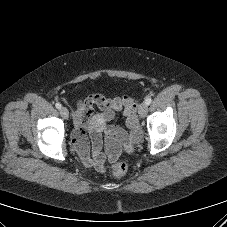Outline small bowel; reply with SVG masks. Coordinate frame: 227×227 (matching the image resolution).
<instances>
[{"label": "small bowel", "instance_id": "obj_1", "mask_svg": "<svg viewBox=\"0 0 227 227\" xmlns=\"http://www.w3.org/2000/svg\"><path fill=\"white\" fill-rule=\"evenodd\" d=\"M97 106L100 112L95 113ZM122 112L128 131L117 125H109L116 115ZM76 131L73 144L82 161L99 172L105 169L106 158L113 162L121 153V147L130 152L142 137L136 118V102L129 96L105 98L90 95L78 104L74 113ZM106 135V153L102 151Z\"/></svg>", "mask_w": 227, "mask_h": 227}]
</instances>
